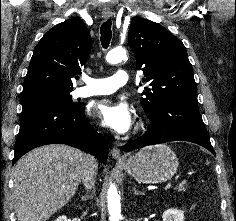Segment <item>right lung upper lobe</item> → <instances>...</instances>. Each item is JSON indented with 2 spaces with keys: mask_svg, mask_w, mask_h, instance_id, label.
I'll list each match as a JSON object with an SVG mask.
<instances>
[{
  "mask_svg": "<svg viewBox=\"0 0 236 221\" xmlns=\"http://www.w3.org/2000/svg\"><path fill=\"white\" fill-rule=\"evenodd\" d=\"M91 44L90 33L79 18L51 28L34 49L22 93L48 88L72 90L71 79L81 74Z\"/></svg>",
  "mask_w": 236,
  "mask_h": 221,
  "instance_id": "cb5924a9",
  "label": "right lung upper lobe"
}]
</instances>
